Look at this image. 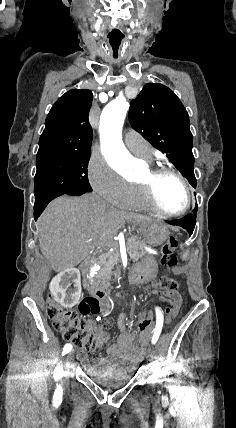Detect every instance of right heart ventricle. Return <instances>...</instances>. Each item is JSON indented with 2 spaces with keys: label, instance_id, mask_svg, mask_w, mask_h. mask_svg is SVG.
<instances>
[{
  "label": "right heart ventricle",
  "instance_id": "obj_1",
  "mask_svg": "<svg viewBox=\"0 0 236 428\" xmlns=\"http://www.w3.org/2000/svg\"><path fill=\"white\" fill-rule=\"evenodd\" d=\"M123 208L128 209V210L157 213L145 201L143 194H142V191H141V188L138 185H132L131 186L130 195H129L128 199L126 200Z\"/></svg>",
  "mask_w": 236,
  "mask_h": 428
}]
</instances>
